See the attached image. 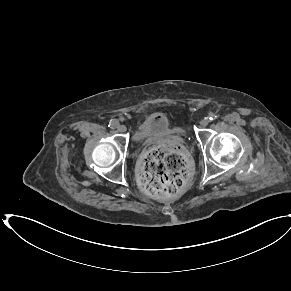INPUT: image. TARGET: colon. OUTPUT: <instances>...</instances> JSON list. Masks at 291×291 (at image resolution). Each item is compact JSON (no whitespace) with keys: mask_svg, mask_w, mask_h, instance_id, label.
<instances>
[{"mask_svg":"<svg viewBox=\"0 0 291 291\" xmlns=\"http://www.w3.org/2000/svg\"><path fill=\"white\" fill-rule=\"evenodd\" d=\"M190 165L172 142L151 145L144 152L139 167V184L150 196L166 198L184 190L188 184Z\"/></svg>","mask_w":291,"mask_h":291,"instance_id":"obj_1","label":"colon"}]
</instances>
